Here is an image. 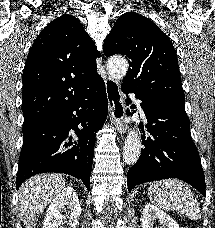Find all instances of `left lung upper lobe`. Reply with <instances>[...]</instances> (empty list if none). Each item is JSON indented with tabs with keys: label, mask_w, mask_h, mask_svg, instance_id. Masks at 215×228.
<instances>
[{
	"label": "left lung upper lobe",
	"mask_w": 215,
	"mask_h": 228,
	"mask_svg": "<svg viewBox=\"0 0 215 228\" xmlns=\"http://www.w3.org/2000/svg\"><path fill=\"white\" fill-rule=\"evenodd\" d=\"M104 54L124 55L129 70L122 87L142 97L185 100L178 59L165 33L146 17L121 15L104 41Z\"/></svg>",
	"instance_id": "1"
}]
</instances>
